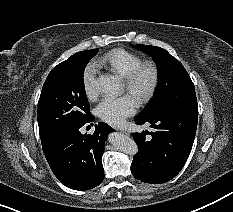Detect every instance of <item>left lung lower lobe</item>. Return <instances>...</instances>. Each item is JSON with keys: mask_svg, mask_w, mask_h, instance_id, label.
<instances>
[{"mask_svg": "<svg viewBox=\"0 0 233 212\" xmlns=\"http://www.w3.org/2000/svg\"><path fill=\"white\" fill-rule=\"evenodd\" d=\"M198 121V110L180 107L158 109L139 115V125L150 123L154 131L132 133L139 147L131 164L133 176L146 183L161 184L174 178L191 152ZM150 134L151 140L145 136Z\"/></svg>", "mask_w": 233, "mask_h": 212, "instance_id": "left-lung-lower-lobe-1", "label": "left lung lower lobe"}]
</instances>
